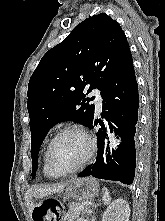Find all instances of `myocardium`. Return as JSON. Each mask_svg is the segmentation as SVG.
<instances>
[{
	"mask_svg": "<svg viewBox=\"0 0 165 221\" xmlns=\"http://www.w3.org/2000/svg\"><path fill=\"white\" fill-rule=\"evenodd\" d=\"M69 132H77L81 134L88 145L87 152L84 156V158L74 167L67 169V170H58L51 161V148L54 144V142L63 134L69 133ZM95 152V141L93 137L90 135V133L82 126L79 125H69L62 129H60L58 132L55 133V135L50 139V141L47 144L46 150H45V159L48 168L52 173H54L57 176H63L68 175L77 172L81 168H83L93 157Z\"/></svg>",
	"mask_w": 165,
	"mask_h": 221,
	"instance_id": "1",
	"label": "myocardium"
}]
</instances>
